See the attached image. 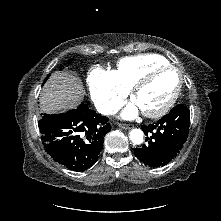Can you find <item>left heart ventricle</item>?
I'll list each match as a JSON object with an SVG mask.
<instances>
[{
    "instance_id": "obj_1",
    "label": "left heart ventricle",
    "mask_w": 221,
    "mask_h": 221,
    "mask_svg": "<svg viewBox=\"0 0 221 221\" xmlns=\"http://www.w3.org/2000/svg\"><path fill=\"white\" fill-rule=\"evenodd\" d=\"M178 83L174 71H163L139 91L134 102L142 111H154L161 108L172 96Z\"/></svg>"
}]
</instances>
